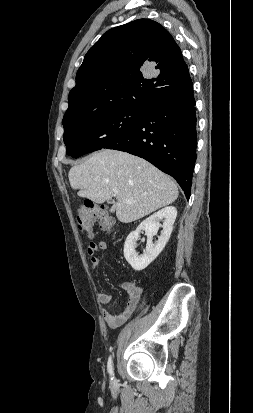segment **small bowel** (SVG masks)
Here are the masks:
<instances>
[{
    "label": "small bowel",
    "instance_id": "c3829d8e",
    "mask_svg": "<svg viewBox=\"0 0 253 413\" xmlns=\"http://www.w3.org/2000/svg\"><path fill=\"white\" fill-rule=\"evenodd\" d=\"M106 248L107 245L105 242H91L89 244L87 252L90 255V265L93 269H96L101 263V258L97 256V252L99 250H105ZM120 287L125 290L129 296L126 307L120 312L109 311L107 309L102 310L105 321L112 328H117L128 320L136 310L143 292L142 287L131 282H121ZM97 298L102 305H109L112 301V296L106 292H99Z\"/></svg>",
    "mask_w": 253,
    "mask_h": 413
}]
</instances>
